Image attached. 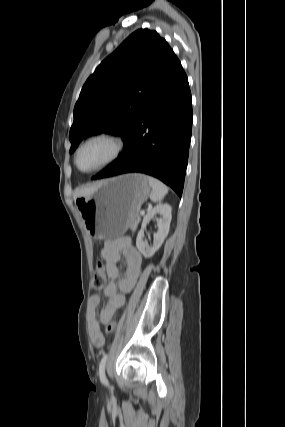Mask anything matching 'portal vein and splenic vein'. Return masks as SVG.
Segmentation results:
<instances>
[{
	"label": "portal vein and splenic vein",
	"mask_w": 285,
	"mask_h": 427,
	"mask_svg": "<svg viewBox=\"0 0 285 427\" xmlns=\"http://www.w3.org/2000/svg\"><path fill=\"white\" fill-rule=\"evenodd\" d=\"M144 214H145V210H141L140 215H144Z\"/></svg>",
	"instance_id": "18ae733b"
}]
</instances>
